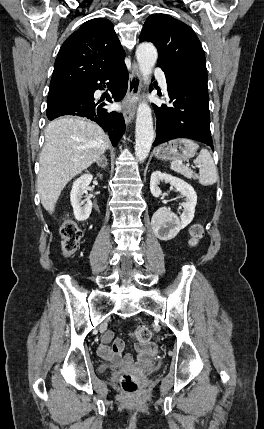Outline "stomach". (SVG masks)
Returning <instances> with one entry per match:
<instances>
[{"label":"stomach","mask_w":264,"mask_h":429,"mask_svg":"<svg viewBox=\"0 0 264 429\" xmlns=\"http://www.w3.org/2000/svg\"><path fill=\"white\" fill-rule=\"evenodd\" d=\"M198 149V145L186 138L173 139L161 144L155 151V157L162 160H186L192 158Z\"/></svg>","instance_id":"1"}]
</instances>
